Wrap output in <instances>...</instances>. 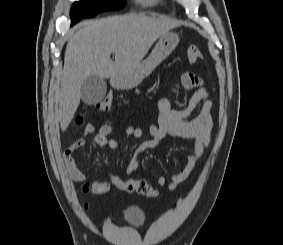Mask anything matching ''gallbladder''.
I'll return each instance as SVG.
<instances>
[{
  "label": "gallbladder",
  "mask_w": 283,
  "mask_h": 245,
  "mask_svg": "<svg viewBox=\"0 0 283 245\" xmlns=\"http://www.w3.org/2000/svg\"><path fill=\"white\" fill-rule=\"evenodd\" d=\"M107 91L105 80L97 75L84 79L81 87V98L85 104L93 105L101 102Z\"/></svg>",
  "instance_id": "1"
}]
</instances>
